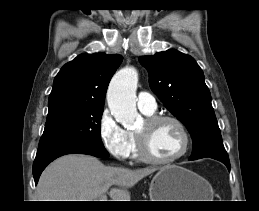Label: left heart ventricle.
Here are the masks:
<instances>
[{
    "label": "left heart ventricle",
    "instance_id": "1",
    "mask_svg": "<svg viewBox=\"0 0 259 211\" xmlns=\"http://www.w3.org/2000/svg\"><path fill=\"white\" fill-rule=\"evenodd\" d=\"M136 132L144 137L149 152L156 158H170L182 148L183 139L180 131L170 121H163L153 126L143 121Z\"/></svg>",
    "mask_w": 259,
    "mask_h": 211
}]
</instances>
